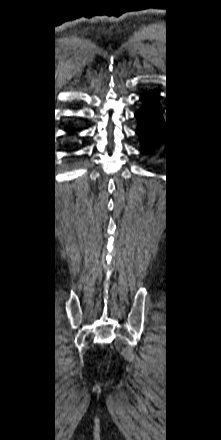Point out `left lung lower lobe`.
<instances>
[{
  "instance_id": "1",
  "label": "left lung lower lobe",
  "mask_w": 221,
  "mask_h": 440,
  "mask_svg": "<svg viewBox=\"0 0 221 440\" xmlns=\"http://www.w3.org/2000/svg\"><path fill=\"white\" fill-rule=\"evenodd\" d=\"M144 105L135 116L139 121L137 134L141 138L142 151L150 152L164 140L162 109L156 92H147L141 96Z\"/></svg>"
}]
</instances>
